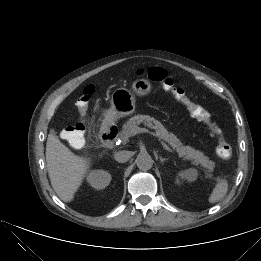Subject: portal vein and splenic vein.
<instances>
[{"mask_svg": "<svg viewBox=\"0 0 261 261\" xmlns=\"http://www.w3.org/2000/svg\"><path fill=\"white\" fill-rule=\"evenodd\" d=\"M139 133H148L152 136H154L160 143L161 145L163 146V148L165 150H167L168 152L172 153V154H175L174 151L169 147L167 146V144L165 142L162 141L161 137L158 136L156 133L152 132V131H149L148 129L146 128H140V127H136V128H133L131 130V135L134 136V135H137Z\"/></svg>", "mask_w": 261, "mask_h": 261, "instance_id": "1", "label": "portal vein and splenic vein"}]
</instances>
